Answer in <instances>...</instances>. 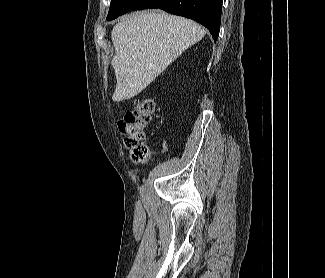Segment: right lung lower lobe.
I'll return each mask as SVG.
<instances>
[{
  "instance_id": "obj_1",
  "label": "right lung lower lobe",
  "mask_w": 325,
  "mask_h": 278,
  "mask_svg": "<svg viewBox=\"0 0 325 278\" xmlns=\"http://www.w3.org/2000/svg\"><path fill=\"white\" fill-rule=\"evenodd\" d=\"M160 8L193 19L208 28L216 41L220 31L222 0H136L131 10Z\"/></svg>"
}]
</instances>
